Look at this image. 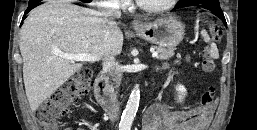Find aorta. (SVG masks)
I'll list each match as a JSON object with an SVG mask.
<instances>
[{"mask_svg":"<svg viewBox=\"0 0 257 130\" xmlns=\"http://www.w3.org/2000/svg\"><path fill=\"white\" fill-rule=\"evenodd\" d=\"M140 102L139 85L133 88L119 124L120 130H130Z\"/></svg>","mask_w":257,"mask_h":130,"instance_id":"obj_1","label":"aorta"}]
</instances>
